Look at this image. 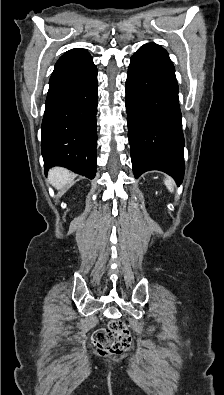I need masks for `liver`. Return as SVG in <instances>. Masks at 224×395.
Here are the masks:
<instances>
[{
  "label": "liver",
  "mask_w": 224,
  "mask_h": 395,
  "mask_svg": "<svg viewBox=\"0 0 224 395\" xmlns=\"http://www.w3.org/2000/svg\"><path fill=\"white\" fill-rule=\"evenodd\" d=\"M71 172L62 167H54L49 171L48 180L56 189H62L68 184L71 178Z\"/></svg>",
  "instance_id": "obj_1"
}]
</instances>
